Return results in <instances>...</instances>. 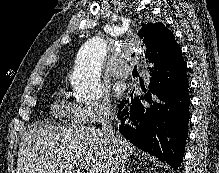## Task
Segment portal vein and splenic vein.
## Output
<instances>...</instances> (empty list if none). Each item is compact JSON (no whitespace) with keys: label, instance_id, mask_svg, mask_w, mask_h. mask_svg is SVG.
<instances>
[{"label":"portal vein and splenic vein","instance_id":"obj_1","mask_svg":"<svg viewBox=\"0 0 219 173\" xmlns=\"http://www.w3.org/2000/svg\"><path fill=\"white\" fill-rule=\"evenodd\" d=\"M76 166H79V167H81V165L79 164V163H74Z\"/></svg>","mask_w":219,"mask_h":173}]
</instances>
